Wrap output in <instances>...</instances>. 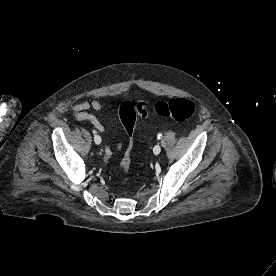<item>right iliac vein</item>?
<instances>
[{"label": "right iliac vein", "instance_id": "63e3f726", "mask_svg": "<svg viewBox=\"0 0 276 276\" xmlns=\"http://www.w3.org/2000/svg\"><path fill=\"white\" fill-rule=\"evenodd\" d=\"M99 138H100V136L95 135V136H94V141H96V140L99 139Z\"/></svg>", "mask_w": 276, "mask_h": 276}]
</instances>
